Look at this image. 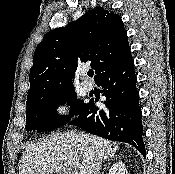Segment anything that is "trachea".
Wrapping results in <instances>:
<instances>
[{
    "label": "trachea",
    "mask_w": 175,
    "mask_h": 174,
    "mask_svg": "<svg viewBox=\"0 0 175 174\" xmlns=\"http://www.w3.org/2000/svg\"><path fill=\"white\" fill-rule=\"evenodd\" d=\"M94 75V71L93 70H89L88 71V76L92 77Z\"/></svg>",
    "instance_id": "obj_1"
}]
</instances>
